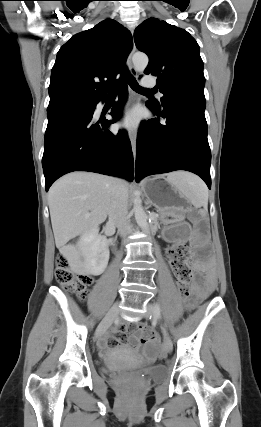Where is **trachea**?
<instances>
[{
  "mask_svg": "<svg viewBox=\"0 0 261 427\" xmlns=\"http://www.w3.org/2000/svg\"><path fill=\"white\" fill-rule=\"evenodd\" d=\"M125 78H127V82L129 84V86L136 92H153V90L150 89H145L142 88L141 86H139L138 82L136 81V79L128 72L127 69H125L122 72V75L120 77V79L115 83L112 84L111 86L107 87V91L109 95H116L119 92L120 86L122 84V82L125 80Z\"/></svg>",
  "mask_w": 261,
  "mask_h": 427,
  "instance_id": "1",
  "label": "trachea"
}]
</instances>
